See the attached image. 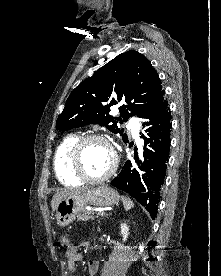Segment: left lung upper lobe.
Here are the masks:
<instances>
[{
	"instance_id": "5c2ea615",
	"label": "left lung upper lobe",
	"mask_w": 221,
	"mask_h": 276,
	"mask_svg": "<svg viewBox=\"0 0 221 276\" xmlns=\"http://www.w3.org/2000/svg\"><path fill=\"white\" fill-rule=\"evenodd\" d=\"M161 80L150 61L135 50L119 54L81 82L69 95L56 121L57 130H69L87 124L105 126L128 137L117 122L130 116L145 118L164 100ZM121 104L120 117L109 114L110 107Z\"/></svg>"
}]
</instances>
